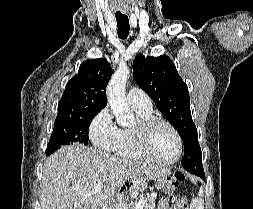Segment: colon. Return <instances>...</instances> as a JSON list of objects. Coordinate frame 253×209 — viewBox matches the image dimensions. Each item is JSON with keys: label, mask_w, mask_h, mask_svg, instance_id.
<instances>
[{"label": "colon", "mask_w": 253, "mask_h": 209, "mask_svg": "<svg viewBox=\"0 0 253 209\" xmlns=\"http://www.w3.org/2000/svg\"><path fill=\"white\" fill-rule=\"evenodd\" d=\"M183 179V175L181 173H177L174 176L168 177V182L166 183V189H172L178 186L180 181ZM176 209H188V201L186 197H181L177 203L175 204Z\"/></svg>", "instance_id": "obj_1"}]
</instances>
